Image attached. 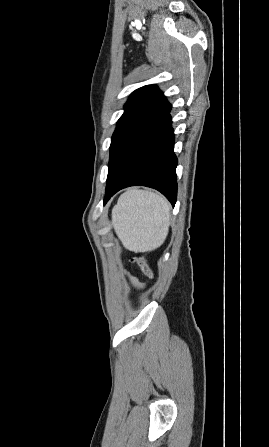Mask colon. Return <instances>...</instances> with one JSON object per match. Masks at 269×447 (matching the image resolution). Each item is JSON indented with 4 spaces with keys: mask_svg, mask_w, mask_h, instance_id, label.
<instances>
[{
    "mask_svg": "<svg viewBox=\"0 0 269 447\" xmlns=\"http://www.w3.org/2000/svg\"><path fill=\"white\" fill-rule=\"evenodd\" d=\"M132 261L139 267L140 271L148 279L153 280L155 278L153 269L149 266V264L142 256H136L132 259Z\"/></svg>",
    "mask_w": 269,
    "mask_h": 447,
    "instance_id": "obj_1",
    "label": "colon"
}]
</instances>
